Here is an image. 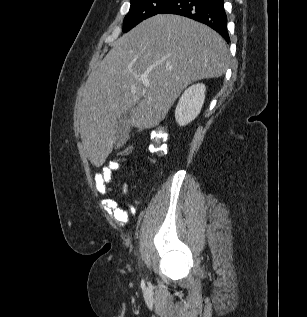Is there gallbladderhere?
I'll use <instances>...</instances> for the list:
<instances>
[{"mask_svg": "<svg viewBox=\"0 0 307 317\" xmlns=\"http://www.w3.org/2000/svg\"><path fill=\"white\" fill-rule=\"evenodd\" d=\"M130 112H126L121 115V117L117 120L116 122V127H115V136H114V145L116 148L122 147L130 133Z\"/></svg>", "mask_w": 307, "mask_h": 317, "instance_id": "gallbladder-1", "label": "gallbladder"}]
</instances>
